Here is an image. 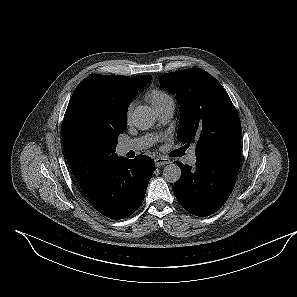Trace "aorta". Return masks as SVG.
<instances>
[{"instance_id":"762f6f07","label":"aorta","mask_w":297,"mask_h":297,"mask_svg":"<svg viewBox=\"0 0 297 297\" xmlns=\"http://www.w3.org/2000/svg\"><path fill=\"white\" fill-rule=\"evenodd\" d=\"M132 122L140 130H147L155 122L154 111L149 106H138L132 113ZM164 179L170 183H176L181 178V169L178 165L172 163L164 167Z\"/></svg>"}]
</instances>
